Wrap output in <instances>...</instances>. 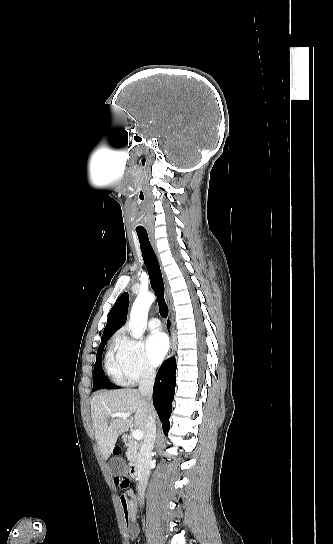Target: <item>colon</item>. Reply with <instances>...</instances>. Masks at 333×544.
<instances>
[{"instance_id":"1","label":"colon","mask_w":333,"mask_h":544,"mask_svg":"<svg viewBox=\"0 0 333 544\" xmlns=\"http://www.w3.org/2000/svg\"><path fill=\"white\" fill-rule=\"evenodd\" d=\"M114 455L121 453L120 448L116 447L113 451ZM115 483L120 489H126L130 486V480L126 476H118L115 478Z\"/></svg>"}]
</instances>
